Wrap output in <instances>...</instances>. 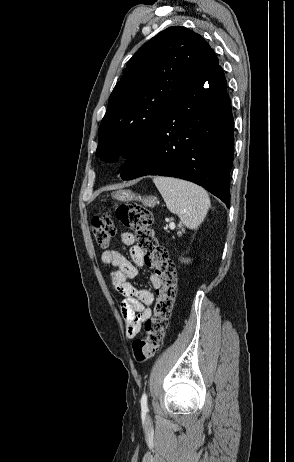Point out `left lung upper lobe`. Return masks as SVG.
Segmentation results:
<instances>
[{"label": "left lung upper lobe", "mask_w": 294, "mask_h": 462, "mask_svg": "<svg viewBox=\"0 0 294 462\" xmlns=\"http://www.w3.org/2000/svg\"><path fill=\"white\" fill-rule=\"evenodd\" d=\"M218 65L209 44L185 27H169L146 42L111 93L98 130L97 154L107 162L119 154L129 158L178 95Z\"/></svg>", "instance_id": "5c2ea615"}]
</instances>
